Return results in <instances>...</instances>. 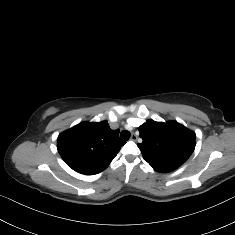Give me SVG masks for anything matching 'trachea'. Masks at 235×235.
<instances>
[{
  "label": "trachea",
  "mask_w": 235,
  "mask_h": 235,
  "mask_svg": "<svg viewBox=\"0 0 235 235\" xmlns=\"http://www.w3.org/2000/svg\"><path fill=\"white\" fill-rule=\"evenodd\" d=\"M130 136H131V134H130V132L127 131V130H123V131H121V133H120V138H121L122 140H124V141L128 140V139L130 138Z\"/></svg>",
  "instance_id": "obj_1"
}]
</instances>
